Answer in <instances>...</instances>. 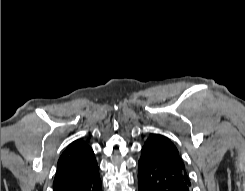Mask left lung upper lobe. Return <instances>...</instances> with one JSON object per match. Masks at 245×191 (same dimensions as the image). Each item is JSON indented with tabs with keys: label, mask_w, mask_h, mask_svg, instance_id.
I'll use <instances>...</instances> for the list:
<instances>
[{
	"label": "left lung upper lobe",
	"mask_w": 245,
	"mask_h": 191,
	"mask_svg": "<svg viewBox=\"0 0 245 191\" xmlns=\"http://www.w3.org/2000/svg\"><path fill=\"white\" fill-rule=\"evenodd\" d=\"M146 150L156 153L169 161L185 167L176 146L165 136L154 134L148 138L144 147Z\"/></svg>",
	"instance_id": "obj_1"
}]
</instances>
